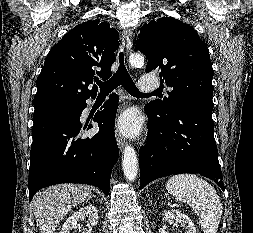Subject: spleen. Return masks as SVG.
Listing matches in <instances>:
<instances>
[{
    "label": "spleen",
    "instance_id": "3e777b00",
    "mask_svg": "<svg viewBox=\"0 0 253 233\" xmlns=\"http://www.w3.org/2000/svg\"><path fill=\"white\" fill-rule=\"evenodd\" d=\"M170 194L192 206L204 233H217L222 205L216 190L194 174L172 176L166 183Z\"/></svg>",
    "mask_w": 253,
    "mask_h": 233
}]
</instances>
